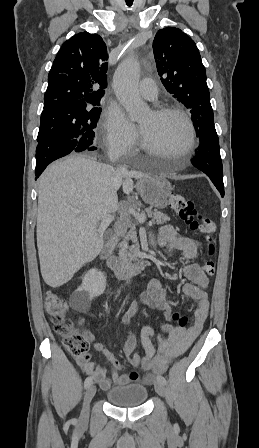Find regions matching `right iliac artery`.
<instances>
[{
  "instance_id": "82829eb1",
  "label": "right iliac artery",
  "mask_w": 259,
  "mask_h": 448,
  "mask_svg": "<svg viewBox=\"0 0 259 448\" xmlns=\"http://www.w3.org/2000/svg\"><path fill=\"white\" fill-rule=\"evenodd\" d=\"M92 384V377H87L84 382V387L88 388Z\"/></svg>"
}]
</instances>
